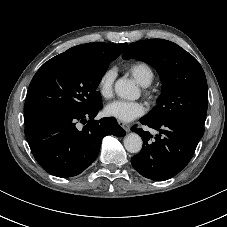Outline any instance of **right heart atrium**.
Listing matches in <instances>:
<instances>
[{
    "instance_id": "obj_1",
    "label": "right heart atrium",
    "mask_w": 227,
    "mask_h": 227,
    "mask_svg": "<svg viewBox=\"0 0 227 227\" xmlns=\"http://www.w3.org/2000/svg\"><path fill=\"white\" fill-rule=\"evenodd\" d=\"M116 77L114 69H106L99 77L97 82V91L103 98H109L113 93V86Z\"/></svg>"
}]
</instances>
